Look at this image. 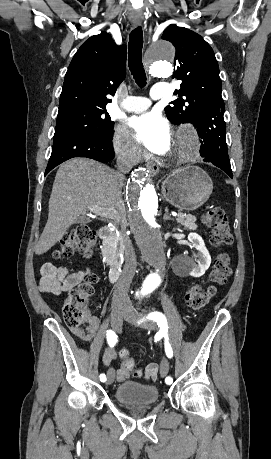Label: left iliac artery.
<instances>
[{"instance_id": "1", "label": "left iliac artery", "mask_w": 271, "mask_h": 459, "mask_svg": "<svg viewBox=\"0 0 271 459\" xmlns=\"http://www.w3.org/2000/svg\"><path fill=\"white\" fill-rule=\"evenodd\" d=\"M146 319L153 320V321L157 322L158 329H159V334L161 336H165V352H166V355H167L168 358H172L173 351H172L171 345L169 344L168 336H166L168 334V325H167L166 317L162 313L154 311V312L149 313L148 316L146 317ZM144 320H145V318L140 320V322H143ZM140 322H138V323L140 324ZM171 385H172V377H167L166 378V386H171Z\"/></svg>"}]
</instances>
